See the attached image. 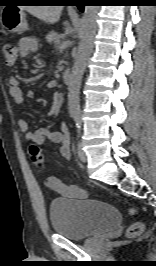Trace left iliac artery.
<instances>
[{"instance_id":"left-iliac-artery-1","label":"left iliac artery","mask_w":156,"mask_h":266,"mask_svg":"<svg viewBox=\"0 0 156 266\" xmlns=\"http://www.w3.org/2000/svg\"><path fill=\"white\" fill-rule=\"evenodd\" d=\"M74 121L76 124V127L78 129V134L80 133V128H81V115L80 114H75L74 115Z\"/></svg>"}]
</instances>
